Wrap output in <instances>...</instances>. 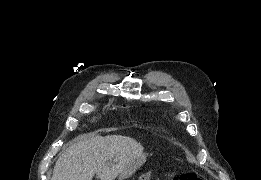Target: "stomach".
I'll list each match as a JSON object with an SVG mask.
<instances>
[{"label":"stomach","instance_id":"obj_1","mask_svg":"<svg viewBox=\"0 0 261 180\" xmlns=\"http://www.w3.org/2000/svg\"><path fill=\"white\" fill-rule=\"evenodd\" d=\"M146 161V155L142 153L140 156L132 159L128 165L119 173L118 180H124L132 176Z\"/></svg>","mask_w":261,"mask_h":180}]
</instances>
